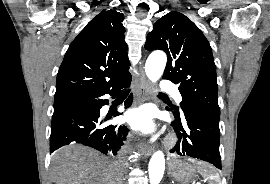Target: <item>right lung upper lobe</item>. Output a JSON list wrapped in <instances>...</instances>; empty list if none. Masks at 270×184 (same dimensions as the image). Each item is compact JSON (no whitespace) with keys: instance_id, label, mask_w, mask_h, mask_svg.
Segmentation results:
<instances>
[{"instance_id":"right-lung-upper-lobe-1","label":"right lung upper lobe","mask_w":270,"mask_h":184,"mask_svg":"<svg viewBox=\"0 0 270 184\" xmlns=\"http://www.w3.org/2000/svg\"><path fill=\"white\" fill-rule=\"evenodd\" d=\"M124 15L103 10L70 44L59 68L55 96L113 87L130 79Z\"/></svg>"}]
</instances>
